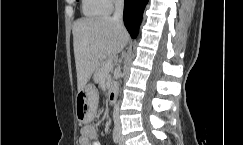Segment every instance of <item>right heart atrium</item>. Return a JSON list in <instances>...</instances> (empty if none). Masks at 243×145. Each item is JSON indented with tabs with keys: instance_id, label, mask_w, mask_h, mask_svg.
I'll return each instance as SVG.
<instances>
[{
	"instance_id": "right-heart-atrium-1",
	"label": "right heart atrium",
	"mask_w": 243,
	"mask_h": 145,
	"mask_svg": "<svg viewBox=\"0 0 243 145\" xmlns=\"http://www.w3.org/2000/svg\"><path fill=\"white\" fill-rule=\"evenodd\" d=\"M106 6L110 9L112 8L115 4L121 2L122 0H103Z\"/></svg>"
}]
</instances>
